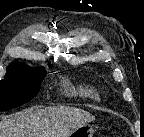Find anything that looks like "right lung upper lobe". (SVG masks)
Here are the masks:
<instances>
[{
  "mask_svg": "<svg viewBox=\"0 0 144 137\" xmlns=\"http://www.w3.org/2000/svg\"><path fill=\"white\" fill-rule=\"evenodd\" d=\"M17 66H26V65L23 63L15 61V62L11 63V65L9 67H17Z\"/></svg>",
  "mask_w": 144,
  "mask_h": 137,
  "instance_id": "1",
  "label": "right lung upper lobe"
}]
</instances>
